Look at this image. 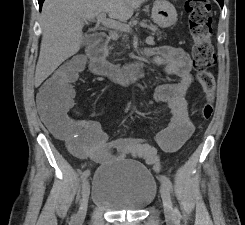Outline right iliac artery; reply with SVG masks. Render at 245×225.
Instances as JSON below:
<instances>
[{"label": "right iliac artery", "mask_w": 245, "mask_h": 225, "mask_svg": "<svg viewBox=\"0 0 245 225\" xmlns=\"http://www.w3.org/2000/svg\"><path fill=\"white\" fill-rule=\"evenodd\" d=\"M89 175H90V171H89V170H85V171L82 173L81 179H82V180H85ZM72 218H73V220H75V216H73Z\"/></svg>", "instance_id": "right-iliac-artery-1"}]
</instances>
